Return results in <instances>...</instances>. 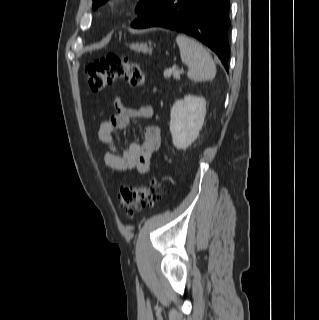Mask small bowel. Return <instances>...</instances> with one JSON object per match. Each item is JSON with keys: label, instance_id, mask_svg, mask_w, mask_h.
Listing matches in <instances>:
<instances>
[{"label": "small bowel", "instance_id": "1", "mask_svg": "<svg viewBox=\"0 0 319 320\" xmlns=\"http://www.w3.org/2000/svg\"><path fill=\"white\" fill-rule=\"evenodd\" d=\"M115 113L102 122L97 129L98 139L108 146L103 154V162L111 173H121L137 169L147 173L150 161L161 142V130L156 125L145 127L141 144L132 143L126 149H120L118 131L126 128L131 119H150L153 116L151 106L142 105L136 108L126 106L119 97L114 99Z\"/></svg>", "mask_w": 319, "mask_h": 320}]
</instances>
